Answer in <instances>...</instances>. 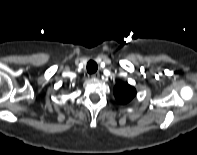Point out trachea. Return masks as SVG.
<instances>
[{"mask_svg": "<svg viewBox=\"0 0 197 155\" xmlns=\"http://www.w3.org/2000/svg\"><path fill=\"white\" fill-rule=\"evenodd\" d=\"M98 69V66H97V63L95 61H89L87 63V72L89 74H93L97 71Z\"/></svg>", "mask_w": 197, "mask_h": 155, "instance_id": "trachea-1", "label": "trachea"}]
</instances>
